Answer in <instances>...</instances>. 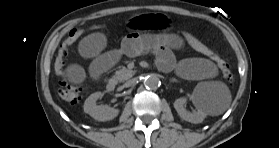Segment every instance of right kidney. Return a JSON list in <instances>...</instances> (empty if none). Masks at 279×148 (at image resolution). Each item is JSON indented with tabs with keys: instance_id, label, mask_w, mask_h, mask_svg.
<instances>
[{
	"instance_id": "right-kidney-1",
	"label": "right kidney",
	"mask_w": 279,
	"mask_h": 148,
	"mask_svg": "<svg viewBox=\"0 0 279 148\" xmlns=\"http://www.w3.org/2000/svg\"><path fill=\"white\" fill-rule=\"evenodd\" d=\"M103 94L101 92H95L91 94L84 103V112L89 114L95 120L109 121L118 116L119 110L110 108L106 105H96V101L101 98Z\"/></svg>"
}]
</instances>
